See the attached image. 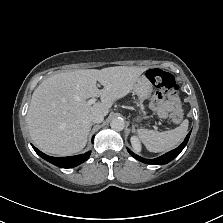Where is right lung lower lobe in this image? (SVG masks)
I'll use <instances>...</instances> for the list:
<instances>
[{
	"mask_svg": "<svg viewBox=\"0 0 223 223\" xmlns=\"http://www.w3.org/2000/svg\"><path fill=\"white\" fill-rule=\"evenodd\" d=\"M32 147L40 157H42L43 159L47 160L48 162H50L53 165L58 166L60 168H71V167L78 166L79 164L86 161L90 156V152H87L85 154L69 156V157H50V156L42 153L41 151H39L33 145H32Z\"/></svg>",
	"mask_w": 223,
	"mask_h": 223,
	"instance_id": "obj_1",
	"label": "right lung lower lobe"
}]
</instances>
